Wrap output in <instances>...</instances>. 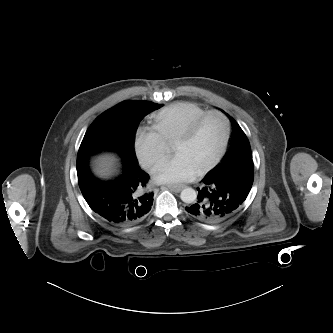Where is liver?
<instances>
[{
	"label": "liver",
	"mask_w": 333,
	"mask_h": 333,
	"mask_svg": "<svg viewBox=\"0 0 333 333\" xmlns=\"http://www.w3.org/2000/svg\"><path fill=\"white\" fill-rule=\"evenodd\" d=\"M100 159H101L100 163L104 168L101 169V170H98L97 173L101 176H108L109 175L108 166L110 164V162L108 161L109 158L108 159L107 158H100Z\"/></svg>",
	"instance_id": "liver-1"
}]
</instances>
